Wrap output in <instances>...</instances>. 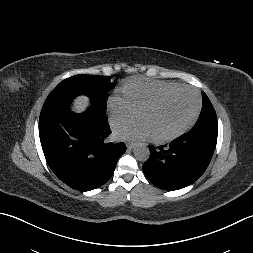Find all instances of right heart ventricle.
<instances>
[{"mask_svg":"<svg viewBox=\"0 0 253 253\" xmlns=\"http://www.w3.org/2000/svg\"><path fill=\"white\" fill-rule=\"evenodd\" d=\"M176 86H178V84L172 82L134 79L124 85L122 93L128 104L137 111L143 104L147 103L160 93Z\"/></svg>","mask_w":253,"mask_h":253,"instance_id":"obj_1","label":"right heart ventricle"}]
</instances>
